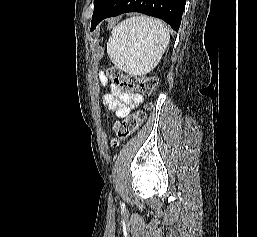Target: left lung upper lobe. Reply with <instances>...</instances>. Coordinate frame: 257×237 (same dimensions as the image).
<instances>
[{
    "mask_svg": "<svg viewBox=\"0 0 257 237\" xmlns=\"http://www.w3.org/2000/svg\"><path fill=\"white\" fill-rule=\"evenodd\" d=\"M107 1L108 0H94L93 18L99 14V12L102 10Z\"/></svg>",
    "mask_w": 257,
    "mask_h": 237,
    "instance_id": "5c2ea615",
    "label": "left lung upper lobe"
}]
</instances>
